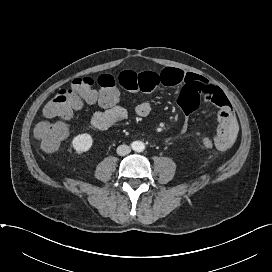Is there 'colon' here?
Masks as SVG:
<instances>
[{
  "label": "colon",
  "instance_id": "5ec220e1",
  "mask_svg": "<svg viewBox=\"0 0 272 272\" xmlns=\"http://www.w3.org/2000/svg\"><path fill=\"white\" fill-rule=\"evenodd\" d=\"M120 100L117 81L112 75L103 74L97 79L91 76L76 78L45 105L43 114L47 119L37 123L34 134L45 152H55L69 136L67 121L81 110L84 103H98L109 108L117 105ZM52 118L60 120L52 121ZM202 144L208 149L214 147V141L210 137L203 138Z\"/></svg>",
  "mask_w": 272,
  "mask_h": 272
}]
</instances>
